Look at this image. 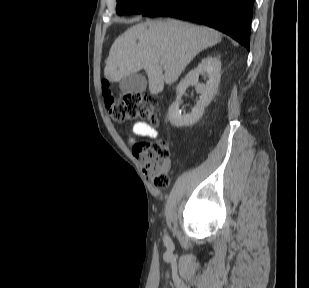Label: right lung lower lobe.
<instances>
[{
	"mask_svg": "<svg viewBox=\"0 0 309 288\" xmlns=\"http://www.w3.org/2000/svg\"><path fill=\"white\" fill-rule=\"evenodd\" d=\"M255 0H162L143 16H168L201 23L231 36L249 51Z\"/></svg>",
	"mask_w": 309,
	"mask_h": 288,
	"instance_id": "obj_1",
	"label": "right lung lower lobe"
}]
</instances>
